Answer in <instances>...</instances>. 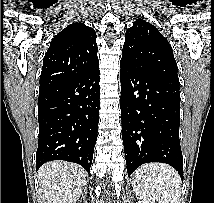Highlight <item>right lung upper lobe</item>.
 <instances>
[{"label":"right lung upper lobe","instance_id":"obj_1","mask_svg":"<svg viewBox=\"0 0 214 203\" xmlns=\"http://www.w3.org/2000/svg\"><path fill=\"white\" fill-rule=\"evenodd\" d=\"M99 66L95 31L81 22L54 36L44 59L39 92L50 89Z\"/></svg>","mask_w":214,"mask_h":203}]
</instances>
